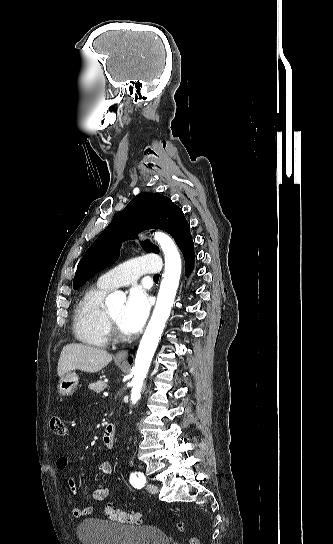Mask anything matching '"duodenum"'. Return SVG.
<instances>
[{"label": "duodenum", "mask_w": 333, "mask_h": 544, "mask_svg": "<svg viewBox=\"0 0 333 544\" xmlns=\"http://www.w3.org/2000/svg\"><path fill=\"white\" fill-rule=\"evenodd\" d=\"M103 444L106 448H112L115 442V427L113 424H107L103 437Z\"/></svg>", "instance_id": "duodenum-1"}]
</instances>
